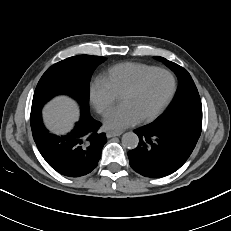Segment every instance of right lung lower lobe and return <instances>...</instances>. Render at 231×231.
I'll use <instances>...</instances> for the list:
<instances>
[{
  "label": "right lung lower lobe",
  "instance_id": "obj_1",
  "mask_svg": "<svg viewBox=\"0 0 231 231\" xmlns=\"http://www.w3.org/2000/svg\"><path fill=\"white\" fill-rule=\"evenodd\" d=\"M101 124L89 111H81L80 121L66 136H56L44 127L41 109L31 111V129L34 141L46 162L67 177H80L97 167L105 133L97 130Z\"/></svg>",
  "mask_w": 231,
  "mask_h": 231
}]
</instances>
